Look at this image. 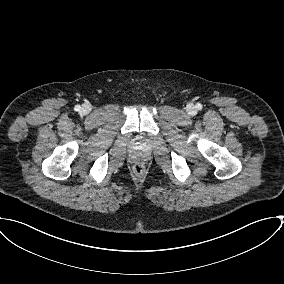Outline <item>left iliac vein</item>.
Listing matches in <instances>:
<instances>
[{"mask_svg": "<svg viewBox=\"0 0 284 284\" xmlns=\"http://www.w3.org/2000/svg\"><path fill=\"white\" fill-rule=\"evenodd\" d=\"M187 111H188V113L191 114V115H193V114L196 112L195 107H194L193 105H189V106L187 107Z\"/></svg>", "mask_w": 284, "mask_h": 284, "instance_id": "4c4485c4", "label": "left iliac vein"}]
</instances>
